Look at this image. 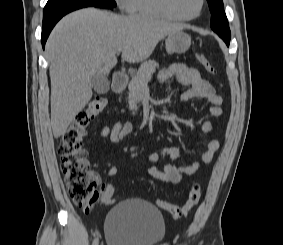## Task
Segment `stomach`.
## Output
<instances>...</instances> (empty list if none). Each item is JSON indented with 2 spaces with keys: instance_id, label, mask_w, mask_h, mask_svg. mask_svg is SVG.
<instances>
[{
  "instance_id": "1",
  "label": "stomach",
  "mask_w": 283,
  "mask_h": 245,
  "mask_svg": "<svg viewBox=\"0 0 283 245\" xmlns=\"http://www.w3.org/2000/svg\"><path fill=\"white\" fill-rule=\"evenodd\" d=\"M190 45V36L181 30L169 34L165 40L166 51L168 54L185 53L189 49Z\"/></svg>"
}]
</instances>
